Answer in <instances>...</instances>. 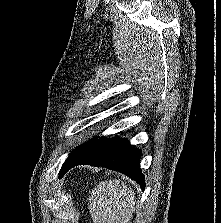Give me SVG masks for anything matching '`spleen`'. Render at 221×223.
I'll use <instances>...</instances> for the list:
<instances>
[{
  "instance_id": "1",
  "label": "spleen",
  "mask_w": 221,
  "mask_h": 223,
  "mask_svg": "<svg viewBox=\"0 0 221 223\" xmlns=\"http://www.w3.org/2000/svg\"><path fill=\"white\" fill-rule=\"evenodd\" d=\"M88 205L93 223H129L135 211V194L120 180H105L92 190Z\"/></svg>"
}]
</instances>
